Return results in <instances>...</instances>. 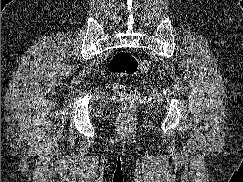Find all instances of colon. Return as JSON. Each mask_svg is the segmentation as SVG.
I'll list each match as a JSON object with an SVG mask.
<instances>
[{
	"label": "colon",
	"mask_w": 243,
	"mask_h": 182,
	"mask_svg": "<svg viewBox=\"0 0 243 182\" xmlns=\"http://www.w3.org/2000/svg\"><path fill=\"white\" fill-rule=\"evenodd\" d=\"M149 67L150 63L148 60L137 58L126 51L114 54L108 65L111 73L121 76H133L144 73ZM114 90L126 104H133L140 99V93L125 84L115 83Z\"/></svg>",
	"instance_id": "5ec220e1"
}]
</instances>
